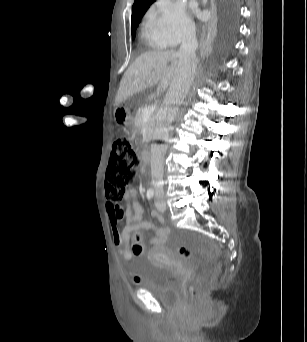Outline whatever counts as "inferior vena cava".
<instances>
[{"mask_svg": "<svg viewBox=\"0 0 307 342\" xmlns=\"http://www.w3.org/2000/svg\"><path fill=\"white\" fill-rule=\"evenodd\" d=\"M198 42L196 40L195 30H188L185 34L182 44L179 48L178 56L179 62L176 70V76L167 90L164 98V112L165 124H160L156 132L164 142H169L170 124L174 122L177 114V106L183 104L190 86L194 80L195 70L197 68L196 50ZM167 144L158 146V148H151V178L152 186L156 192L163 194V174H164V156L167 152Z\"/></svg>", "mask_w": 307, "mask_h": 342, "instance_id": "602c4592", "label": "inferior vena cava"}]
</instances>
